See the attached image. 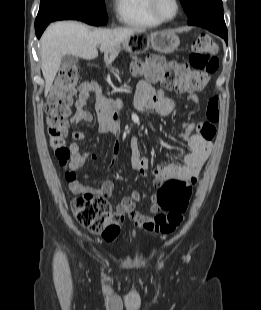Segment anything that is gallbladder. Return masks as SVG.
I'll return each instance as SVG.
<instances>
[{
	"label": "gallbladder",
	"mask_w": 261,
	"mask_h": 310,
	"mask_svg": "<svg viewBox=\"0 0 261 310\" xmlns=\"http://www.w3.org/2000/svg\"><path fill=\"white\" fill-rule=\"evenodd\" d=\"M62 65L69 67V66H74L75 64L78 63V57L70 54H66L62 57Z\"/></svg>",
	"instance_id": "bac80fb5"
}]
</instances>
